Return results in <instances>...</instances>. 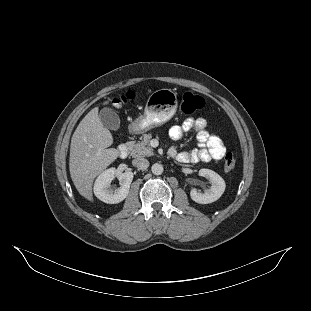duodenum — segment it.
Listing matches in <instances>:
<instances>
[{"label":"duodenum","mask_w":311,"mask_h":311,"mask_svg":"<svg viewBox=\"0 0 311 311\" xmlns=\"http://www.w3.org/2000/svg\"><path fill=\"white\" fill-rule=\"evenodd\" d=\"M129 146L127 144H120L117 149L118 156L120 158H125L128 155Z\"/></svg>","instance_id":"obj_1"}]
</instances>
